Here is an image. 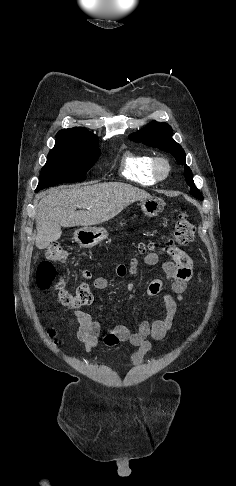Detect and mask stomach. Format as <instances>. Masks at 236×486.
<instances>
[{
	"instance_id": "stomach-1",
	"label": "stomach",
	"mask_w": 236,
	"mask_h": 486,
	"mask_svg": "<svg viewBox=\"0 0 236 486\" xmlns=\"http://www.w3.org/2000/svg\"><path fill=\"white\" fill-rule=\"evenodd\" d=\"M165 203L162 199L151 197L141 200V209L148 217H155L162 213ZM108 237V232L103 227L84 226L74 232V239L82 248H91L101 243Z\"/></svg>"
}]
</instances>
